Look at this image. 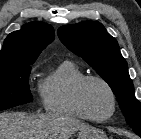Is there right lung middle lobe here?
<instances>
[{"label": "right lung middle lobe", "instance_id": "obj_1", "mask_svg": "<svg viewBox=\"0 0 141 139\" xmlns=\"http://www.w3.org/2000/svg\"><path fill=\"white\" fill-rule=\"evenodd\" d=\"M31 64L0 66V111L31 102Z\"/></svg>", "mask_w": 141, "mask_h": 139}]
</instances>
